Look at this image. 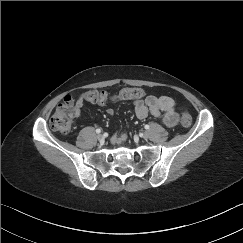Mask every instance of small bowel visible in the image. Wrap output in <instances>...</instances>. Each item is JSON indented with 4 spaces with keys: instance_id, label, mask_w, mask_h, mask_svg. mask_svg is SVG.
<instances>
[{
    "instance_id": "c3829d8e",
    "label": "small bowel",
    "mask_w": 243,
    "mask_h": 243,
    "mask_svg": "<svg viewBox=\"0 0 243 243\" xmlns=\"http://www.w3.org/2000/svg\"><path fill=\"white\" fill-rule=\"evenodd\" d=\"M133 102L136 115L139 119H145L148 115H151L153 117H161L162 123L167 127H173L178 123L179 115L175 111V102L171 97L148 95L143 99H134ZM106 103L107 102H102L98 104L105 106ZM83 104L84 98L79 97L75 103L74 114L76 116L81 115ZM107 112L110 115L114 113L111 108H108ZM126 139V134H116L114 137V141L117 143H122L126 141Z\"/></svg>"
}]
</instances>
